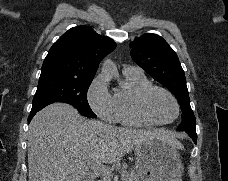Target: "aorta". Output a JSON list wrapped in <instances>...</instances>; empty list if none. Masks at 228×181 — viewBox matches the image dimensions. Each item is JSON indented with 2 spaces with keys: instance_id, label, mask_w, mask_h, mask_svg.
Masks as SVG:
<instances>
[{
  "instance_id": "aorta-1",
  "label": "aorta",
  "mask_w": 228,
  "mask_h": 181,
  "mask_svg": "<svg viewBox=\"0 0 228 181\" xmlns=\"http://www.w3.org/2000/svg\"><path fill=\"white\" fill-rule=\"evenodd\" d=\"M102 73L108 78L117 75L116 66L110 59L104 61L102 65Z\"/></svg>"
}]
</instances>
